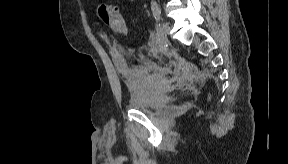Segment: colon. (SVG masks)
Returning a JSON list of instances; mask_svg holds the SVG:
<instances>
[{
  "label": "colon",
  "instance_id": "1",
  "mask_svg": "<svg viewBox=\"0 0 288 164\" xmlns=\"http://www.w3.org/2000/svg\"><path fill=\"white\" fill-rule=\"evenodd\" d=\"M100 17L112 31L117 33L125 31L126 22L117 6H104L100 10Z\"/></svg>",
  "mask_w": 288,
  "mask_h": 164
}]
</instances>
